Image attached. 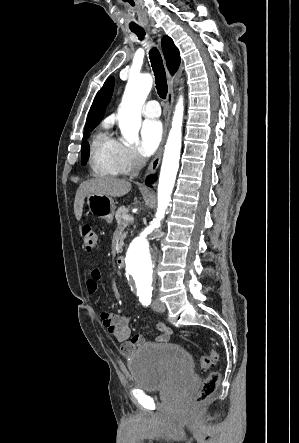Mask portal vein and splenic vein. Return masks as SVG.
<instances>
[{"instance_id":"18ae733b","label":"portal vein and splenic vein","mask_w":299,"mask_h":443,"mask_svg":"<svg viewBox=\"0 0 299 443\" xmlns=\"http://www.w3.org/2000/svg\"><path fill=\"white\" fill-rule=\"evenodd\" d=\"M123 219L124 220H133V217L132 216H129V215H125L124 217H123Z\"/></svg>"}]
</instances>
